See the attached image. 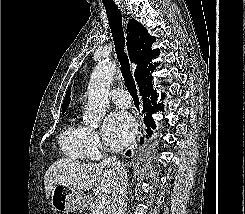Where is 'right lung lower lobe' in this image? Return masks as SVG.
<instances>
[{
  "label": "right lung lower lobe",
  "instance_id": "98d812e1",
  "mask_svg": "<svg viewBox=\"0 0 245 214\" xmlns=\"http://www.w3.org/2000/svg\"><path fill=\"white\" fill-rule=\"evenodd\" d=\"M153 71V70H152ZM148 73L143 77V79L138 83L140 95L143 99V113H146V116H144V123L148 127L147 133L150 136L152 134V130H150V127L155 128V122L152 119L151 114L154 112H157L158 110L163 111L164 107L163 104H157V98L159 97V94L154 90L152 85V78L151 73ZM161 98L164 99L165 96L163 93L161 94ZM144 142V138H140V144L142 145ZM130 151L126 153V155H129Z\"/></svg>",
  "mask_w": 245,
  "mask_h": 214
}]
</instances>
